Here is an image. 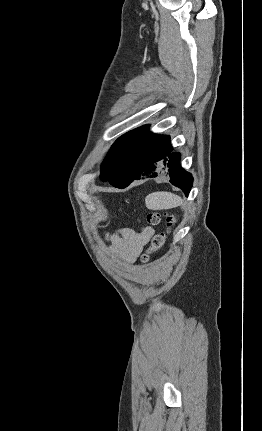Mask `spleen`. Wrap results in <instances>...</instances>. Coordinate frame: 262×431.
I'll use <instances>...</instances> for the list:
<instances>
[{"label": "spleen", "instance_id": "obj_1", "mask_svg": "<svg viewBox=\"0 0 262 431\" xmlns=\"http://www.w3.org/2000/svg\"><path fill=\"white\" fill-rule=\"evenodd\" d=\"M182 198L171 192H153L146 196L145 204L150 210H163L178 207L182 204Z\"/></svg>", "mask_w": 262, "mask_h": 431}]
</instances>
